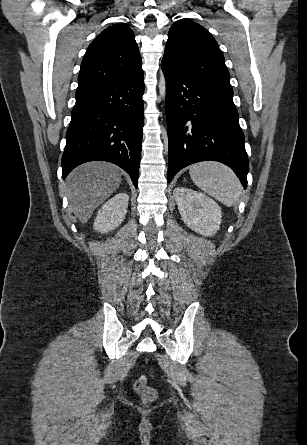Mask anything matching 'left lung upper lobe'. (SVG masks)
<instances>
[{"instance_id":"obj_1","label":"left lung upper lobe","mask_w":307,"mask_h":445,"mask_svg":"<svg viewBox=\"0 0 307 445\" xmlns=\"http://www.w3.org/2000/svg\"><path fill=\"white\" fill-rule=\"evenodd\" d=\"M162 62L205 88L233 96L230 75L216 40L193 21L182 19L171 26Z\"/></svg>"}]
</instances>
